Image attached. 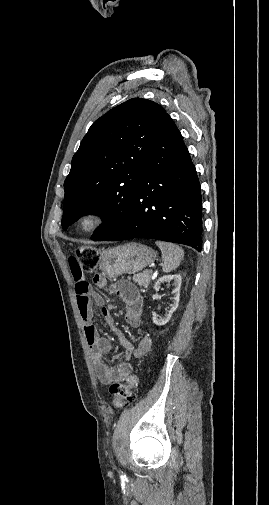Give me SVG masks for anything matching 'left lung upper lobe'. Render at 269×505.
Segmentation results:
<instances>
[{
	"instance_id": "left-lung-upper-lobe-1",
	"label": "left lung upper lobe",
	"mask_w": 269,
	"mask_h": 505,
	"mask_svg": "<svg viewBox=\"0 0 269 505\" xmlns=\"http://www.w3.org/2000/svg\"><path fill=\"white\" fill-rule=\"evenodd\" d=\"M166 114L153 101L133 98L92 124L64 182V230L81 216L99 212L104 221L95 232L98 240L127 220L145 157Z\"/></svg>"
}]
</instances>
